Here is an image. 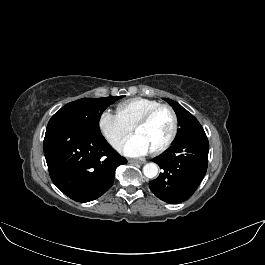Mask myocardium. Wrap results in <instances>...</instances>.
Masks as SVG:
<instances>
[{"label": "myocardium", "mask_w": 265, "mask_h": 265, "mask_svg": "<svg viewBox=\"0 0 265 265\" xmlns=\"http://www.w3.org/2000/svg\"><path fill=\"white\" fill-rule=\"evenodd\" d=\"M162 110H166L170 113L172 117V129H171V132L168 138L164 141V143L161 144L159 147L155 148L154 150H151L153 154H159V153L164 152L174 142L177 136V133H178V128H179L178 116L175 110L169 105L160 104L148 110L146 113H144L133 125V130L136 132L138 127L148 123L155 114H157L159 111H162Z\"/></svg>", "instance_id": "1"}]
</instances>
